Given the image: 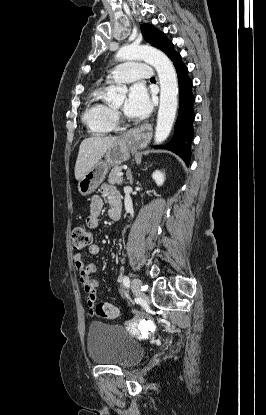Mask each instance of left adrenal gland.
I'll list each match as a JSON object with an SVG mask.
<instances>
[{"label":"left adrenal gland","instance_id":"1","mask_svg":"<svg viewBox=\"0 0 266 415\" xmlns=\"http://www.w3.org/2000/svg\"><path fill=\"white\" fill-rule=\"evenodd\" d=\"M126 176H127V180L132 185L133 184V177H132V173H131V170L130 169L127 170Z\"/></svg>","mask_w":266,"mask_h":415}]
</instances>
